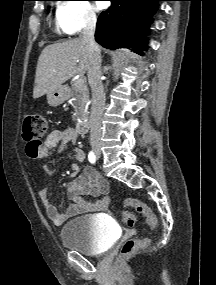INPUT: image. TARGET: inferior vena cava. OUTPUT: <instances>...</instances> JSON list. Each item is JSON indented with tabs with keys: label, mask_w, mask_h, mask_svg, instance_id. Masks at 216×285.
Instances as JSON below:
<instances>
[{
	"label": "inferior vena cava",
	"mask_w": 216,
	"mask_h": 285,
	"mask_svg": "<svg viewBox=\"0 0 216 285\" xmlns=\"http://www.w3.org/2000/svg\"><path fill=\"white\" fill-rule=\"evenodd\" d=\"M97 18L88 15L80 38L85 41L89 52L88 81L92 90V107L90 115V143L94 146L100 142L101 123L105 104L104 87L101 80V55L94 39Z\"/></svg>",
	"instance_id": "1"
}]
</instances>
